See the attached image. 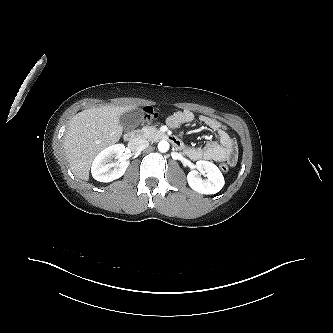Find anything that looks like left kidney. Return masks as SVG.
Wrapping results in <instances>:
<instances>
[{
    "instance_id": "obj_1",
    "label": "left kidney",
    "mask_w": 333,
    "mask_h": 333,
    "mask_svg": "<svg viewBox=\"0 0 333 333\" xmlns=\"http://www.w3.org/2000/svg\"><path fill=\"white\" fill-rule=\"evenodd\" d=\"M196 168L199 172L192 170L187 175L188 184L193 190L208 195L215 194L223 188L224 177L215 164L200 160L196 162ZM200 172H205L207 179H202Z\"/></svg>"
}]
</instances>
